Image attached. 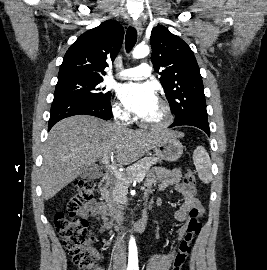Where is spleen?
Segmentation results:
<instances>
[{
	"label": "spleen",
	"mask_w": 267,
	"mask_h": 270,
	"mask_svg": "<svg viewBox=\"0 0 267 270\" xmlns=\"http://www.w3.org/2000/svg\"><path fill=\"white\" fill-rule=\"evenodd\" d=\"M193 162L199 179L208 184L212 181L211 160L204 147L198 146L193 152Z\"/></svg>",
	"instance_id": "3e777b00"
}]
</instances>
